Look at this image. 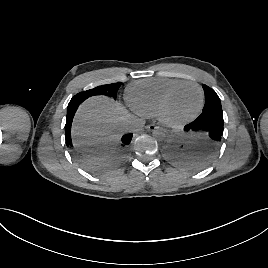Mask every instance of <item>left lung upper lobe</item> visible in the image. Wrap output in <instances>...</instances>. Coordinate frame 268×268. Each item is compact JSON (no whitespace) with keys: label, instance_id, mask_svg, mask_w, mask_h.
I'll use <instances>...</instances> for the list:
<instances>
[{"label":"left lung upper lobe","instance_id":"1","mask_svg":"<svg viewBox=\"0 0 268 268\" xmlns=\"http://www.w3.org/2000/svg\"><path fill=\"white\" fill-rule=\"evenodd\" d=\"M203 90L205 93V105L203 108V112L206 111H222V106L220 102V98L216 94V92L208 87L207 85H203ZM222 141V140H221Z\"/></svg>","mask_w":268,"mask_h":268}]
</instances>
